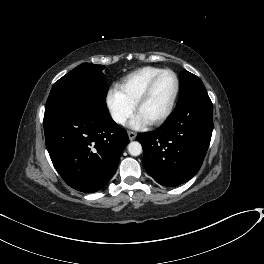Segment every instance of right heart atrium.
Wrapping results in <instances>:
<instances>
[{
	"label": "right heart atrium",
	"mask_w": 264,
	"mask_h": 264,
	"mask_svg": "<svg viewBox=\"0 0 264 264\" xmlns=\"http://www.w3.org/2000/svg\"><path fill=\"white\" fill-rule=\"evenodd\" d=\"M106 101L110 114L117 124H124L135 110V104L129 101L119 88H111Z\"/></svg>",
	"instance_id": "1"
}]
</instances>
